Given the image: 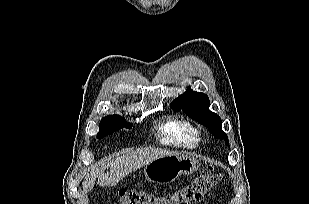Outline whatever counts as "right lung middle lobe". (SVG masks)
I'll return each instance as SVG.
<instances>
[{"label":"right lung middle lobe","mask_w":309,"mask_h":204,"mask_svg":"<svg viewBox=\"0 0 309 204\" xmlns=\"http://www.w3.org/2000/svg\"><path fill=\"white\" fill-rule=\"evenodd\" d=\"M123 127L132 128V124L127 123L126 120L119 115H108L102 118L100 122V130L97 134V138L101 139Z\"/></svg>","instance_id":"right-lung-middle-lobe-1"}]
</instances>
